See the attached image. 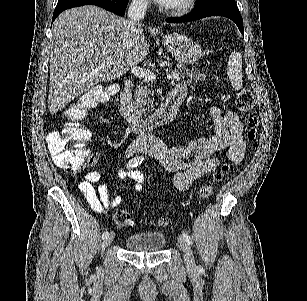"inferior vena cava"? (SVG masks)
Listing matches in <instances>:
<instances>
[{
	"mask_svg": "<svg viewBox=\"0 0 307 301\" xmlns=\"http://www.w3.org/2000/svg\"><path fill=\"white\" fill-rule=\"evenodd\" d=\"M150 0H132L129 8H128V20H126V24L130 30H135L139 24V20H142L146 14L147 6Z\"/></svg>",
	"mask_w": 307,
	"mask_h": 301,
	"instance_id": "inferior-vena-cava-1",
	"label": "inferior vena cava"
}]
</instances>
